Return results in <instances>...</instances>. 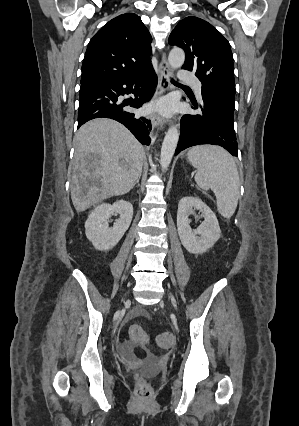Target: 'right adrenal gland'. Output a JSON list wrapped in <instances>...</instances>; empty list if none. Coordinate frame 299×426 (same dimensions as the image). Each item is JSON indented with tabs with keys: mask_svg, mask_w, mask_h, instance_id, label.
Listing matches in <instances>:
<instances>
[{
	"mask_svg": "<svg viewBox=\"0 0 299 426\" xmlns=\"http://www.w3.org/2000/svg\"><path fill=\"white\" fill-rule=\"evenodd\" d=\"M140 177L136 180L135 184L139 185Z\"/></svg>",
	"mask_w": 299,
	"mask_h": 426,
	"instance_id": "2a0ac1e0",
	"label": "right adrenal gland"
}]
</instances>
